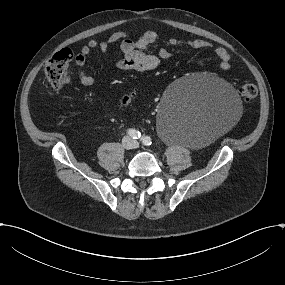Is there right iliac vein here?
Returning a JSON list of instances; mask_svg holds the SVG:
<instances>
[{
  "label": "right iliac vein",
  "mask_w": 285,
  "mask_h": 285,
  "mask_svg": "<svg viewBox=\"0 0 285 285\" xmlns=\"http://www.w3.org/2000/svg\"><path fill=\"white\" fill-rule=\"evenodd\" d=\"M135 145V142L130 138V137H127L125 136L123 139H122V147L126 150H130L131 148H133Z\"/></svg>",
  "instance_id": "right-iliac-vein-1"
}]
</instances>
